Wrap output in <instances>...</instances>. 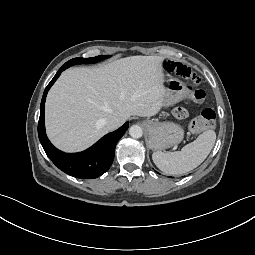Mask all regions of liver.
Instances as JSON below:
<instances>
[{
    "instance_id": "1",
    "label": "liver",
    "mask_w": 255,
    "mask_h": 255,
    "mask_svg": "<svg viewBox=\"0 0 255 255\" xmlns=\"http://www.w3.org/2000/svg\"><path fill=\"white\" fill-rule=\"evenodd\" d=\"M161 56H130L98 68L62 73L46 100L49 139L67 152L84 150L104 136L105 120L122 124L132 115L151 117L164 106Z\"/></svg>"
}]
</instances>
